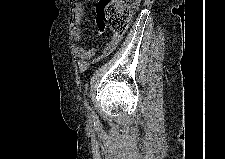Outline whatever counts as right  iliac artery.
<instances>
[{
	"label": "right iliac artery",
	"instance_id": "82829eb1",
	"mask_svg": "<svg viewBox=\"0 0 225 159\" xmlns=\"http://www.w3.org/2000/svg\"><path fill=\"white\" fill-rule=\"evenodd\" d=\"M85 106H86L87 109H89V106H88V103L87 102H85Z\"/></svg>",
	"mask_w": 225,
	"mask_h": 159
}]
</instances>
